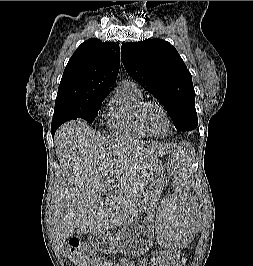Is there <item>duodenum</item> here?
<instances>
[{
	"label": "duodenum",
	"mask_w": 253,
	"mask_h": 266,
	"mask_svg": "<svg viewBox=\"0 0 253 266\" xmlns=\"http://www.w3.org/2000/svg\"><path fill=\"white\" fill-rule=\"evenodd\" d=\"M106 239H107V237H106V235L103 234V233H94V234L92 235V242H93L94 244H99V243H101V242H105Z\"/></svg>",
	"instance_id": "duodenum-1"
}]
</instances>
